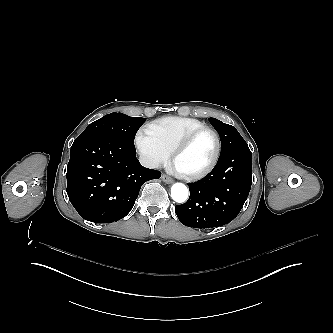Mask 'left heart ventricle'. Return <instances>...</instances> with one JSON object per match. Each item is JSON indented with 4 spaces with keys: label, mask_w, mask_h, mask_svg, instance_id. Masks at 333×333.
Masks as SVG:
<instances>
[{
    "label": "left heart ventricle",
    "mask_w": 333,
    "mask_h": 333,
    "mask_svg": "<svg viewBox=\"0 0 333 333\" xmlns=\"http://www.w3.org/2000/svg\"><path fill=\"white\" fill-rule=\"evenodd\" d=\"M216 150L215 139L209 132L199 134L191 144L174 157L171 165L182 174L194 173L209 164Z\"/></svg>",
    "instance_id": "left-heart-ventricle-1"
}]
</instances>
